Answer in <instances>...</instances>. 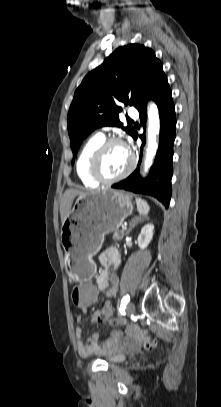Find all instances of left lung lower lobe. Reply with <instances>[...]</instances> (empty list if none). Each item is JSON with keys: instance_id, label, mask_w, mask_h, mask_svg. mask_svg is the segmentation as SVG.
Wrapping results in <instances>:
<instances>
[{"instance_id": "1", "label": "left lung lower lobe", "mask_w": 221, "mask_h": 407, "mask_svg": "<svg viewBox=\"0 0 221 407\" xmlns=\"http://www.w3.org/2000/svg\"><path fill=\"white\" fill-rule=\"evenodd\" d=\"M158 104L160 115V139L155 162L151 167L147 178L141 179L139 176V165L137 169L125 180L113 184L112 188L124 189L134 193L151 195L157 198L167 208L171 198V178L173 174V143L175 140L176 117L175 107L171 96V90L164 77L157 85L151 96ZM140 119L143 126L146 124V104L139 110ZM138 134L135 132L133 138L136 139ZM144 143V135H140Z\"/></svg>"}]
</instances>
